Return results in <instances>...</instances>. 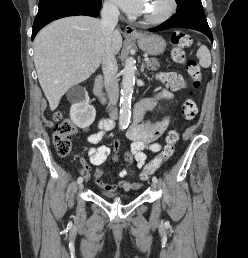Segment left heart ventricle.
Listing matches in <instances>:
<instances>
[{"mask_svg":"<svg viewBox=\"0 0 248 258\" xmlns=\"http://www.w3.org/2000/svg\"><path fill=\"white\" fill-rule=\"evenodd\" d=\"M169 0H148L144 17H156L162 14L169 5Z\"/></svg>","mask_w":248,"mask_h":258,"instance_id":"left-heart-ventricle-1","label":"left heart ventricle"}]
</instances>
